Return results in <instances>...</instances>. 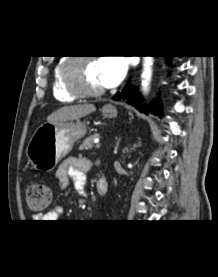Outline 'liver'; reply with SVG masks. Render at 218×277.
<instances>
[{
	"label": "liver",
	"instance_id": "1",
	"mask_svg": "<svg viewBox=\"0 0 218 277\" xmlns=\"http://www.w3.org/2000/svg\"><path fill=\"white\" fill-rule=\"evenodd\" d=\"M96 111L92 104L70 105L59 108L47 117V122H66L78 120Z\"/></svg>",
	"mask_w": 218,
	"mask_h": 277
}]
</instances>
